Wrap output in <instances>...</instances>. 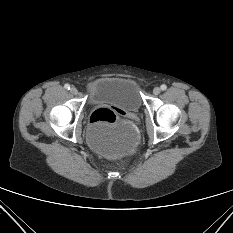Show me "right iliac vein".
<instances>
[{
  "instance_id": "1",
  "label": "right iliac vein",
  "mask_w": 233,
  "mask_h": 233,
  "mask_svg": "<svg viewBox=\"0 0 233 233\" xmlns=\"http://www.w3.org/2000/svg\"><path fill=\"white\" fill-rule=\"evenodd\" d=\"M70 92L73 94V95H77L78 94V90L75 88V87H72L70 89Z\"/></svg>"
}]
</instances>
